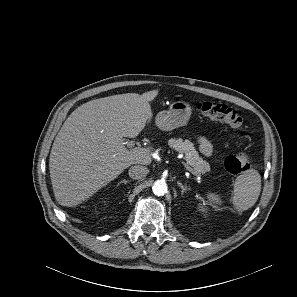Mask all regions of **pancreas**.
Masks as SVG:
<instances>
[{
    "label": "pancreas",
    "mask_w": 297,
    "mask_h": 297,
    "mask_svg": "<svg viewBox=\"0 0 297 297\" xmlns=\"http://www.w3.org/2000/svg\"><path fill=\"white\" fill-rule=\"evenodd\" d=\"M168 145L175 151L183 153L185 155L187 164L192 167L196 173H205L210 170L209 163L199 156L193 143L189 140L171 138L168 141Z\"/></svg>",
    "instance_id": "pancreas-1"
}]
</instances>
